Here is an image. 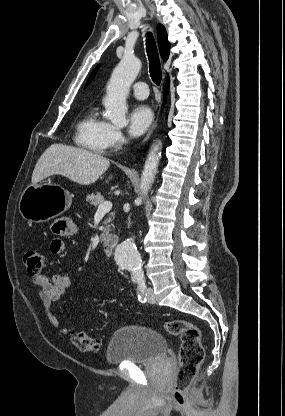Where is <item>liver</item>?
Masks as SVG:
<instances>
[{"label":"liver","instance_id":"obj_1","mask_svg":"<svg viewBox=\"0 0 285 416\" xmlns=\"http://www.w3.org/2000/svg\"><path fill=\"white\" fill-rule=\"evenodd\" d=\"M109 160L83 148L52 144L39 158L32 174V186L49 176H65L80 186H90L108 170ZM110 176L109 180H111ZM107 184V182H106Z\"/></svg>","mask_w":285,"mask_h":416}]
</instances>
